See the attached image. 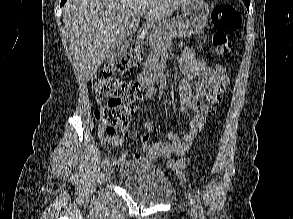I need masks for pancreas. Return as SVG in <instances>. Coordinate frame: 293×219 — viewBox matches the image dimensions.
<instances>
[{
    "label": "pancreas",
    "mask_w": 293,
    "mask_h": 219,
    "mask_svg": "<svg viewBox=\"0 0 293 219\" xmlns=\"http://www.w3.org/2000/svg\"><path fill=\"white\" fill-rule=\"evenodd\" d=\"M190 31L180 16L168 19L159 24L150 34L147 45L151 47V52L144 63L149 70H155L159 67V54L164 47L165 42L175 36L189 37Z\"/></svg>",
    "instance_id": "pancreas-1"
}]
</instances>
